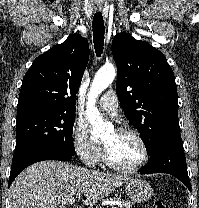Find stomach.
Instances as JSON below:
<instances>
[{
	"mask_svg": "<svg viewBox=\"0 0 199 208\" xmlns=\"http://www.w3.org/2000/svg\"><path fill=\"white\" fill-rule=\"evenodd\" d=\"M126 194L134 202H145L153 195V190L149 183L142 179H129L126 182Z\"/></svg>",
	"mask_w": 199,
	"mask_h": 208,
	"instance_id": "obj_1",
	"label": "stomach"
}]
</instances>
